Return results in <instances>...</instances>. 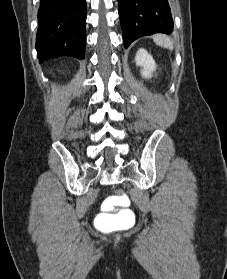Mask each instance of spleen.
<instances>
[{
	"mask_svg": "<svg viewBox=\"0 0 227 279\" xmlns=\"http://www.w3.org/2000/svg\"><path fill=\"white\" fill-rule=\"evenodd\" d=\"M153 40L154 42L161 46V47H164V48H167V49H173V42L172 40L165 36V35H162V34H157V35H154L153 36Z\"/></svg>",
	"mask_w": 227,
	"mask_h": 279,
	"instance_id": "spleen-1",
	"label": "spleen"
}]
</instances>
